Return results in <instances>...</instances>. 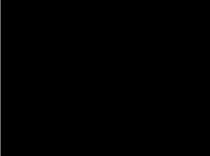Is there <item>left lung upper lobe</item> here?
<instances>
[{
	"mask_svg": "<svg viewBox=\"0 0 210 156\" xmlns=\"http://www.w3.org/2000/svg\"><path fill=\"white\" fill-rule=\"evenodd\" d=\"M142 82L147 91H150L154 100H159L160 105H148V118L138 134V139L146 147H156L167 140L175 128L177 112L171 96L168 94L156 70L146 61L138 63ZM152 110L154 113H152Z\"/></svg>",
	"mask_w": 210,
	"mask_h": 156,
	"instance_id": "obj_1",
	"label": "left lung upper lobe"
}]
</instances>
